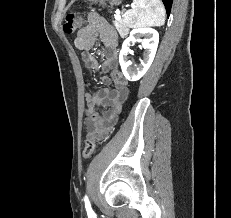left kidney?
Returning a JSON list of instances; mask_svg holds the SVG:
<instances>
[{"label": "left kidney", "mask_w": 231, "mask_h": 218, "mask_svg": "<svg viewBox=\"0 0 231 218\" xmlns=\"http://www.w3.org/2000/svg\"><path fill=\"white\" fill-rule=\"evenodd\" d=\"M141 37L145 38L140 39ZM139 41L142 42V47L146 51L143 60H141V64L137 68H132L128 57L130 46ZM158 42L159 33L153 28H135L130 32V36L123 42L122 49L119 54V63L126 79L136 81L147 72L154 60Z\"/></svg>", "instance_id": "left-kidney-1"}]
</instances>
